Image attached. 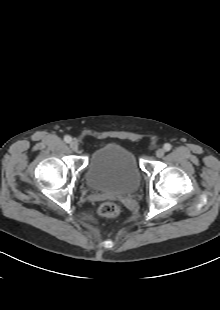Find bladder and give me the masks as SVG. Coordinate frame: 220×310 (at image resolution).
Returning a JSON list of instances; mask_svg holds the SVG:
<instances>
[{
  "label": "bladder",
  "mask_w": 220,
  "mask_h": 310,
  "mask_svg": "<svg viewBox=\"0 0 220 310\" xmlns=\"http://www.w3.org/2000/svg\"><path fill=\"white\" fill-rule=\"evenodd\" d=\"M85 181L94 191L119 196L136 191L141 174L129 150L108 144L91 154L85 170Z\"/></svg>",
  "instance_id": "1"
}]
</instances>
